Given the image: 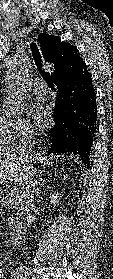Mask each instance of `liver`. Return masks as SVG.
Listing matches in <instances>:
<instances>
[{
    "instance_id": "obj_1",
    "label": "liver",
    "mask_w": 113,
    "mask_h": 279,
    "mask_svg": "<svg viewBox=\"0 0 113 279\" xmlns=\"http://www.w3.org/2000/svg\"><path fill=\"white\" fill-rule=\"evenodd\" d=\"M43 161V157L24 156L18 150L0 149V184L14 182L25 186L29 171H33V163Z\"/></svg>"
}]
</instances>
